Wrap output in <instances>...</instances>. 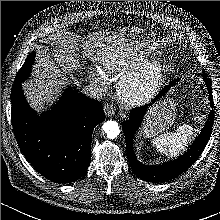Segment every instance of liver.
Wrapping results in <instances>:
<instances>
[{"mask_svg":"<svg viewBox=\"0 0 220 220\" xmlns=\"http://www.w3.org/2000/svg\"><path fill=\"white\" fill-rule=\"evenodd\" d=\"M61 49L56 48L54 57L43 55L36 60L32 78L22 84L31 106L42 109L59 94L60 89L75 77L71 74L80 65L82 56L95 61L112 59L132 51V44L125 33L114 31L96 32L87 37H67ZM83 50V51H82Z\"/></svg>","mask_w":220,"mask_h":220,"instance_id":"6515ba94","label":"liver"}]
</instances>
